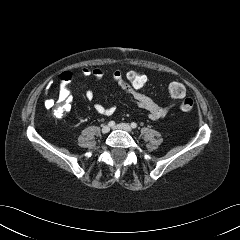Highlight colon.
<instances>
[{
    "instance_id": "1",
    "label": "colon",
    "mask_w": 240,
    "mask_h": 240,
    "mask_svg": "<svg viewBox=\"0 0 240 240\" xmlns=\"http://www.w3.org/2000/svg\"><path fill=\"white\" fill-rule=\"evenodd\" d=\"M71 79L70 74H65L62 77V87L59 91L57 100L55 101L54 113L56 116H63L69 110L68 91L66 84ZM127 84L134 90L144 93L148 85V77L145 72L138 68H132L125 72ZM185 86L178 81L169 83L166 87L167 96L173 100H181L180 109L188 112L194 108V100L190 97H185ZM54 105V103L52 104Z\"/></svg>"
}]
</instances>
